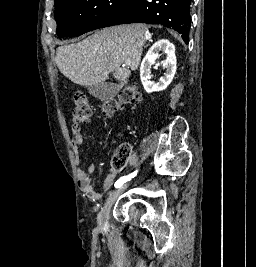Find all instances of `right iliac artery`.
I'll list each match as a JSON object with an SVG mask.
<instances>
[{
    "mask_svg": "<svg viewBox=\"0 0 256 267\" xmlns=\"http://www.w3.org/2000/svg\"><path fill=\"white\" fill-rule=\"evenodd\" d=\"M136 175H137V170L134 171L133 173L127 175V176H123V177H121L119 180L116 181V183H115L114 186H115L116 188H119V187L122 186L125 182L130 181L131 178H134Z\"/></svg>",
    "mask_w": 256,
    "mask_h": 267,
    "instance_id": "obj_1",
    "label": "right iliac artery"
}]
</instances>
